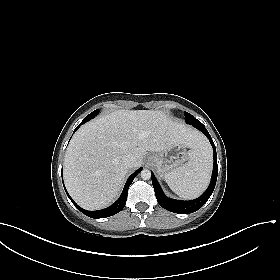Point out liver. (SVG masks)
Listing matches in <instances>:
<instances>
[{
    "label": "liver",
    "instance_id": "1",
    "mask_svg": "<svg viewBox=\"0 0 280 280\" xmlns=\"http://www.w3.org/2000/svg\"><path fill=\"white\" fill-rule=\"evenodd\" d=\"M182 144L191 150L206 144L195 129L162 111L117 110L84 124L72 137L64 158V181L83 208L106 207L118 196L125 176L140 167L147 151L162 152ZM135 161L126 167L123 157Z\"/></svg>",
    "mask_w": 280,
    "mask_h": 280
}]
</instances>
